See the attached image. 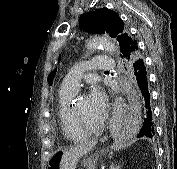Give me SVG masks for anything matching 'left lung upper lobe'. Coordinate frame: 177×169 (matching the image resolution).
Listing matches in <instances>:
<instances>
[{
    "mask_svg": "<svg viewBox=\"0 0 177 169\" xmlns=\"http://www.w3.org/2000/svg\"><path fill=\"white\" fill-rule=\"evenodd\" d=\"M80 22L82 28L87 29L90 33H108L110 37L116 38L119 43L122 56L128 61V64L133 63L137 58H141L139 50L136 51L133 57L130 56V47L133 43L136 44V41L130 37L122 19L116 12L107 8L97 9L95 11L82 14ZM51 76V78H53L54 73Z\"/></svg>",
    "mask_w": 177,
    "mask_h": 169,
    "instance_id": "obj_1",
    "label": "left lung upper lobe"
}]
</instances>
